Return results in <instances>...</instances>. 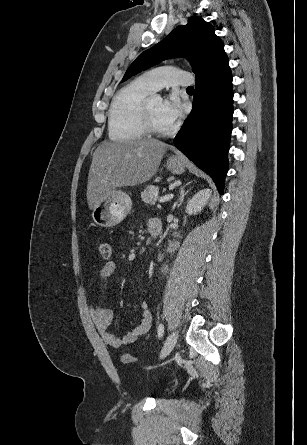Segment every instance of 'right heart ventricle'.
<instances>
[{"label": "right heart ventricle", "instance_id": "right-heart-ventricle-1", "mask_svg": "<svg viewBox=\"0 0 307 445\" xmlns=\"http://www.w3.org/2000/svg\"><path fill=\"white\" fill-rule=\"evenodd\" d=\"M154 89L146 80H137L121 90L109 110V137L113 140H147L141 108Z\"/></svg>", "mask_w": 307, "mask_h": 445}]
</instances>
